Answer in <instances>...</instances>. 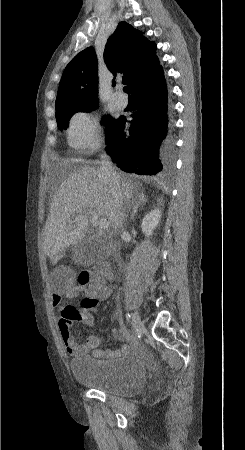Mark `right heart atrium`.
I'll list each match as a JSON object with an SVG mask.
<instances>
[{
  "mask_svg": "<svg viewBox=\"0 0 245 450\" xmlns=\"http://www.w3.org/2000/svg\"><path fill=\"white\" fill-rule=\"evenodd\" d=\"M68 143L83 152H91L101 145V134L98 120L89 113L75 114L67 130Z\"/></svg>",
  "mask_w": 245,
  "mask_h": 450,
  "instance_id": "right-heart-atrium-1",
  "label": "right heart atrium"
}]
</instances>
